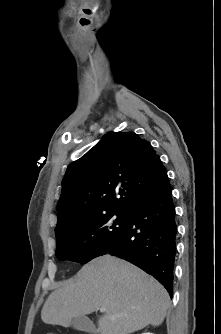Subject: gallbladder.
Here are the masks:
<instances>
[{"instance_id": "1", "label": "gallbladder", "mask_w": 221, "mask_h": 334, "mask_svg": "<svg viewBox=\"0 0 221 334\" xmlns=\"http://www.w3.org/2000/svg\"><path fill=\"white\" fill-rule=\"evenodd\" d=\"M71 326L78 331L96 333L93 322L86 316L74 317L71 321Z\"/></svg>"}]
</instances>
